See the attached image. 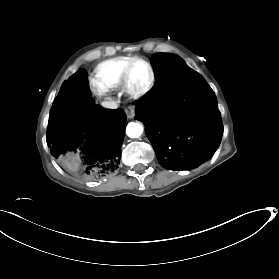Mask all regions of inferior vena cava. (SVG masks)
<instances>
[{"label": "inferior vena cava", "instance_id": "602c4592", "mask_svg": "<svg viewBox=\"0 0 279 279\" xmlns=\"http://www.w3.org/2000/svg\"><path fill=\"white\" fill-rule=\"evenodd\" d=\"M103 106L112 109L117 108V104L115 102H103Z\"/></svg>", "mask_w": 279, "mask_h": 279}]
</instances>
